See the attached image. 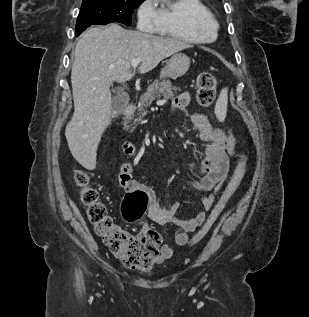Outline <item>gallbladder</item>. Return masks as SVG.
<instances>
[{
  "label": "gallbladder",
  "mask_w": 309,
  "mask_h": 317,
  "mask_svg": "<svg viewBox=\"0 0 309 317\" xmlns=\"http://www.w3.org/2000/svg\"><path fill=\"white\" fill-rule=\"evenodd\" d=\"M129 102L128 94L116 91V95L112 99L111 110L113 116L117 117Z\"/></svg>",
  "instance_id": "bac80fb5"
}]
</instances>
